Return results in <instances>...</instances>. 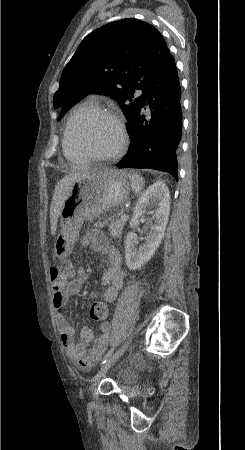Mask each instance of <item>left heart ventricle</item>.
Instances as JSON below:
<instances>
[{
  "label": "left heart ventricle",
  "instance_id": "1",
  "mask_svg": "<svg viewBox=\"0 0 245 450\" xmlns=\"http://www.w3.org/2000/svg\"><path fill=\"white\" fill-rule=\"evenodd\" d=\"M75 132L79 143L98 156L115 151L120 141L117 126L105 118H99L90 124L79 119L75 122Z\"/></svg>",
  "mask_w": 245,
  "mask_h": 450
}]
</instances>
